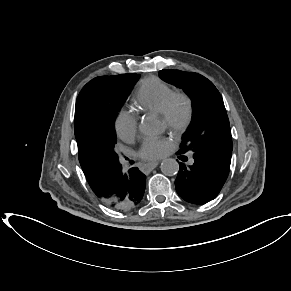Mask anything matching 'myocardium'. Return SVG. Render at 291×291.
I'll return each mask as SVG.
<instances>
[{
	"mask_svg": "<svg viewBox=\"0 0 291 291\" xmlns=\"http://www.w3.org/2000/svg\"><path fill=\"white\" fill-rule=\"evenodd\" d=\"M160 117L168 130L180 136L188 131L194 119L193 103L184 92H175Z\"/></svg>",
	"mask_w": 291,
	"mask_h": 291,
	"instance_id": "f54148a6",
	"label": "myocardium"
}]
</instances>
